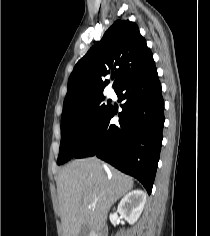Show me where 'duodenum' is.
<instances>
[{
    "mask_svg": "<svg viewBox=\"0 0 210 236\" xmlns=\"http://www.w3.org/2000/svg\"><path fill=\"white\" fill-rule=\"evenodd\" d=\"M90 236H107V234H106V230L102 229L96 233L91 234Z\"/></svg>",
    "mask_w": 210,
    "mask_h": 236,
    "instance_id": "410a0bca",
    "label": "duodenum"
}]
</instances>
